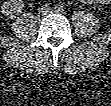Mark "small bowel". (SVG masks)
Wrapping results in <instances>:
<instances>
[{"instance_id": "obj_1", "label": "small bowel", "mask_w": 111, "mask_h": 106, "mask_svg": "<svg viewBox=\"0 0 111 106\" xmlns=\"http://www.w3.org/2000/svg\"><path fill=\"white\" fill-rule=\"evenodd\" d=\"M83 2H86V3H92V2H94V1H89V0H88V1H83Z\"/></svg>"}]
</instances>
